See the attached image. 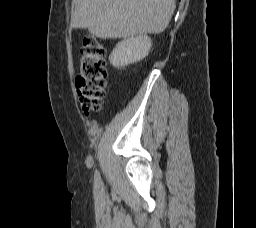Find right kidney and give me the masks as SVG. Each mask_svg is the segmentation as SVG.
I'll return each mask as SVG.
<instances>
[{
    "label": "right kidney",
    "mask_w": 256,
    "mask_h": 228,
    "mask_svg": "<svg viewBox=\"0 0 256 228\" xmlns=\"http://www.w3.org/2000/svg\"><path fill=\"white\" fill-rule=\"evenodd\" d=\"M152 46L147 35L131 37L119 42L110 55V63L114 67H125L145 58Z\"/></svg>",
    "instance_id": "right-kidney-1"
}]
</instances>
